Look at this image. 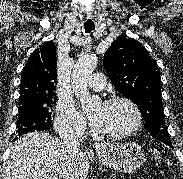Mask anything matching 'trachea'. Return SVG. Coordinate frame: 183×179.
<instances>
[{
  "mask_svg": "<svg viewBox=\"0 0 183 179\" xmlns=\"http://www.w3.org/2000/svg\"><path fill=\"white\" fill-rule=\"evenodd\" d=\"M84 29L86 33H90L92 30L95 29V25L92 20H88L84 23Z\"/></svg>",
  "mask_w": 183,
  "mask_h": 179,
  "instance_id": "1",
  "label": "trachea"
}]
</instances>
